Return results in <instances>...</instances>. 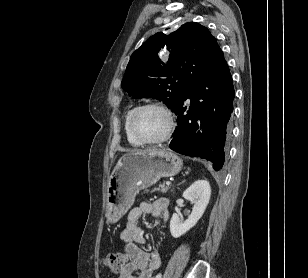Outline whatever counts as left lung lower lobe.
<instances>
[{"label":"left lung lower lobe","instance_id":"1","mask_svg":"<svg viewBox=\"0 0 308 278\" xmlns=\"http://www.w3.org/2000/svg\"><path fill=\"white\" fill-rule=\"evenodd\" d=\"M234 95L232 76L223 58L189 89L174 111L178 126L170 148L209 160L215 170H220L231 134ZM187 99L191 106L185 114Z\"/></svg>","mask_w":308,"mask_h":278}]
</instances>
